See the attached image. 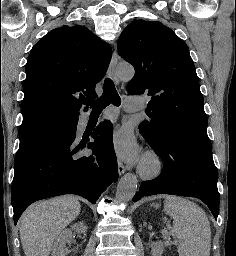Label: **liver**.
Returning a JSON list of instances; mask_svg holds the SVG:
<instances>
[{"mask_svg":"<svg viewBox=\"0 0 236 256\" xmlns=\"http://www.w3.org/2000/svg\"><path fill=\"white\" fill-rule=\"evenodd\" d=\"M73 196L32 204L20 218V238L25 256H50L55 238L80 214Z\"/></svg>","mask_w":236,"mask_h":256,"instance_id":"obj_1","label":"liver"}]
</instances>
